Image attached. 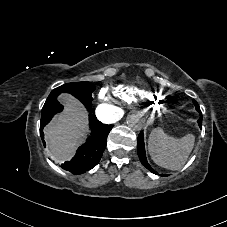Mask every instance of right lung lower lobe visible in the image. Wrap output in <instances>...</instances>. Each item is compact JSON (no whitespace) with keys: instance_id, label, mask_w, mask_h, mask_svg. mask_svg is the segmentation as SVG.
Listing matches in <instances>:
<instances>
[{"instance_id":"right-lung-lower-lobe-1","label":"right lung lower lobe","mask_w":227,"mask_h":227,"mask_svg":"<svg viewBox=\"0 0 227 227\" xmlns=\"http://www.w3.org/2000/svg\"><path fill=\"white\" fill-rule=\"evenodd\" d=\"M87 109L91 108V101H81ZM63 106L58 101L52 103L49 109L42 113L40 121V136L44 142L43 127L50 122L52 117L62 111ZM91 136L87 141L78 148L75 156L71 161H67L61 165L62 169L72 173L80 174L94 168L100 161L102 153L107 144V136L112 129V125L103 124L96 119L93 114L89 115Z\"/></svg>"}]
</instances>
